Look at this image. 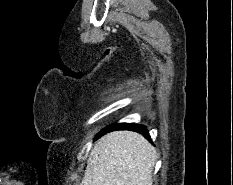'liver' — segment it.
Here are the masks:
<instances>
[{
    "label": "liver",
    "mask_w": 233,
    "mask_h": 185,
    "mask_svg": "<svg viewBox=\"0 0 233 185\" xmlns=\"http://www.w3.org/2000/svg\"><path fill=\"white\" fill-rule=\"evenodd\" d=\"M156 158L155 148L142 135L108 133L91 151L80 185H152Z\"/></svg>",
    "instance_id": "1"
}]
</instances>
